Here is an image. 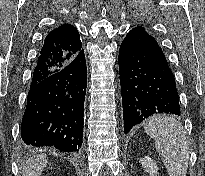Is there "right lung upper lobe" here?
<instances>
[{"label": "right lung upper lobe", "mask_w": 205, "mask_h": 176, "mask_svg": "<svg viewBox=\"0 0 205 176\" xmlns=\"http://www.w3.org/2000/svg\"><path fill=\"white\" fill-rule=\"evenodd\" d=\"M81 51L80 36L73 25L62 24L50 31L41 48L31 86L61 70Z\"/></svg>", "instance_id": "1"}]
</instances>
